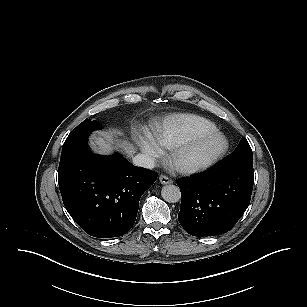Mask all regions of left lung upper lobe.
<instances>
[{
	"instance_id": "5c2ea615",
	"label": "left lung upper lobe",
	"mask_w": 307,
	"mask_h": 307,
	"mask_svg": "<svg viewBox=\"0 0 307 307\" xmlns=\"http://www.w3.org/2000/svg\"><path fill=\"white\" fill-rule=\"evenodd\" d=\"M252 158V149L247 140L243 137L233 153L225 158L222 163L223 165L253 167Z\"/></svg>"
}]
</instances>
